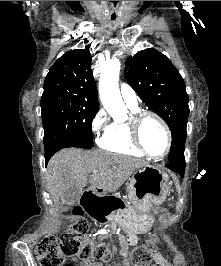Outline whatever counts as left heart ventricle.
<instances>
[{"label":"left heart ventricle","instance_id":"obj_1","mask_svg":"<svg viewBox=\"0 0 221 266\" xmlns=\"http://www.w3.org/2000/svg\"><path fill=\"white\" fill-rule=\"evenodd\" d=\"M141 141L149 153L161 155L166 148V135L161 125L152 117L146 118L141 126Z\"/></svg>","mask_w":221,"mask_h":266}]
</instances>
